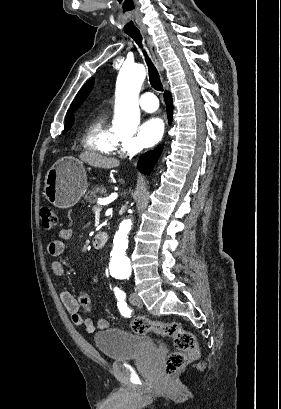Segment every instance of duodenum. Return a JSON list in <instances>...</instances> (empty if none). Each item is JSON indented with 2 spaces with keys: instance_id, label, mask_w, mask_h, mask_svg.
<instances>
[{
  "instance_id": "duodenum-1",
  "label": "duodenum",
  "mask_w": 281,
  "mask_h": 409,
  "mask_svg": "<svg viewBox=\"0 0 281 409\" xmlns=\"http://www.w3.org/2000/svg\"><path fill=\"white\" fill-rule=\"evenodd\" d=\"M107 243V235L98 233L94 237V247L98 250L102 249Z\"/></svg>"
}]
</instances>
